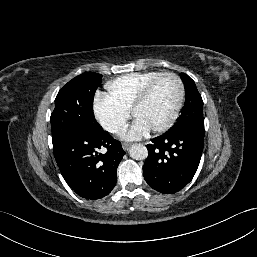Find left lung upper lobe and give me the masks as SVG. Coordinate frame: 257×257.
Wrapping results in <instances>:
<instances>
[{"label":"left lung upper lobe","instance_id":"left-lung-upper-lobe-1","mask_svg":"<svg viewBox=\"0 0 257 257\" xmlns=\"http://www.w3.org/2000/svg\"><path fill=\"white\" fill-rule=\"evenodd\" d=\"M180 77L184 83L186 99L182 113L177 119L176 124L167 131L169 133L189 127L204 128L203 101L196 85L187 74L181 73Z\"/></svg>","mask_w":257,"mask_h":257}]
</instances>
